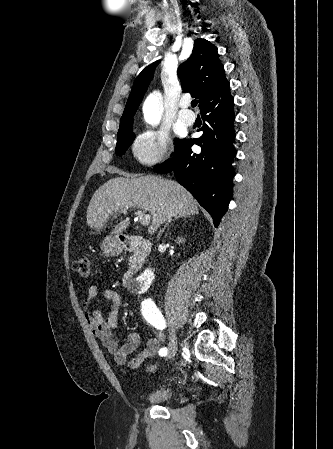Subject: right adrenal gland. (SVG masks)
<instances>
[{
  "instance_id": "1",
  "label": "right adrenal gland",
  "mask_w": 333,
  "mask_h": 449,
  "mask_svg": "<svg viewBox=\"0 0 333 449\" xmlns=\"http://www.w3.org/2000/svg\"><path fill=\"white\" fill-rule=\"evenodd\" d=\"M179 217H186V216H185V215H183V216H177V217H175L174 219L168 220V221L166 222V224L164 225V228H162V230H160L159 235H160L162 232H164L165 228L168 226V224H169L171 221H174V220L178 219Z\"/></svg>"
}]
</instances>
